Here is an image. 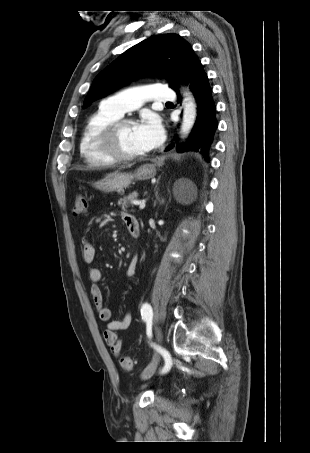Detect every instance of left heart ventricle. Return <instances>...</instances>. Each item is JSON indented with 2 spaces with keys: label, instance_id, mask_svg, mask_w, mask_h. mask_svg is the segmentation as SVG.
Here are the masks:
<instances>
[{
  "label": "left heart ventricle",
  "instance_id": "left-heart-ventricle-1",
  "mask_svg": "<svg viewBox=\"0 0 310 453\" xmlns=\"http://www.w3.org/2000/svg\"><path fill=\"white\" fill-rule=\"evenodd\" d=\"M118 146L121 152L127 155L142 154L147 151L136 134V124H130L121 129Z\"/></svg>",
  "mask_w": 310,
  "mask_h": 453
}]
</instances>
